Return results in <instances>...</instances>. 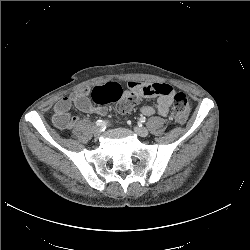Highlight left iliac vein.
Masks as SVG:
<instances>
[{"instance_id":"4c4485c4","label":"left iliac vein","mask_w":250,"mask_h":250,"mask_svg":"<svg viewBox=\"0 0 250 250\" xmlns=\"http://www.w3.org/2000/svg\"><path fill=\"white\" fill-rule=\"evenodd\" d=\"M134 131L141 137H146L149 134V131L144 127L136 126L134 127Z\"/></svg>"}]
</instances>
